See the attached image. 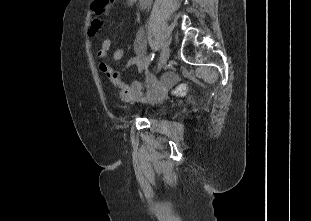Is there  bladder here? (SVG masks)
Instances as JSON below:
<instances>
[{
  "label": "bladder",
  "mask_w": 311,
  "mask_h": 221,
  "mask_svg": "<svg viewBox=\"0 0 311 221\" xmlns=\"http://www.w3.org/2000/svg\"><path fill=\"white\" fill-rule=\"evenodd\" d=\"M155 108V106L153 105L150 109H149V111H151L152 109H154Z\"/></svg>",
  "instance_id": "bladder-1"
}]
</instances>
